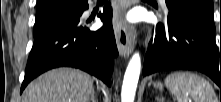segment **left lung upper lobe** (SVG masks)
I'll use <instances>...</instances> for the list:
<instances>
[{
  "label": "left lung upper lobe",
  "instance_id": "left-lung-upper-lobe-1",
  "mask_svg": "<svg viewBox=\"0 0 221 102\" xmlns=\"http://www.w3.org/2000/svg\"><path fill=\"white\" fill-rule=\"evenodd\" d=\"M169 8L185 9L214 25L212 0H166Z\"/></svg>",
  "mask_w": 221,
  "mask_h": 102
}]
</instances>
